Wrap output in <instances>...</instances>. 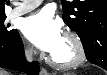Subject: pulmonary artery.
<instances>
[{
	"label": "pulmonary artery",
	"mask_w": 107,
	"mask_h": 75,
	"mask_svg": "<svg viewBox=\"0 0 107 75\" xmlns=\"http://www.w3.org/2000/svg\"><path fill=\"white\" fill-rule=\"evenodd\" d=\"M41 2L42 0H24L11 11V16L15 17L23 15L38 7L41 4Z\"/></svg>",
	"instance_id": "e3ab8cb5"
}]
</instances>
